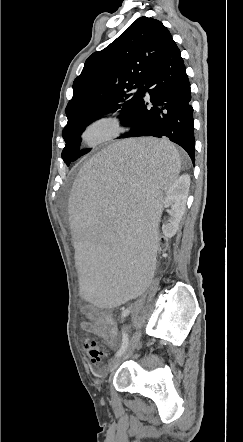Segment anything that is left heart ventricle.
Here are the masks:
<instances>
[{"label":"left heart ventricle","instance_id":"left-heart-ventricle-1","mask_svg":"<svg viewBox=\"0 0 243 442\" xmlns=\"http://www.w3.org/2000/svg\"><path fill=\"white\" fill-rule=\"evenodd\" d=\"M111 131V126L109 124H97L89 129L86 134V138L88 141H96L105 135H107Z\"/></svg>","mask_w":243,"mask_h":442}]
</instances>
